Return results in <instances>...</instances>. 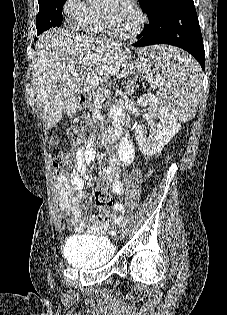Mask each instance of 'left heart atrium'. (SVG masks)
Segmentation results:
<instances>
[{
	"instance_id": "39dd6f15",
	"label": "left heart atrium",
	"mask_w": 227,
	"mask_h": 315,
	"mask_svg": "<svg viewBox=\"0 0 227 315\" xmlns=\"http://www.w3.org/2000/svg\"><path fill=\"white\" fill-rule=\"evenodd\" d=\"M121 1H123V2H128V0H121Z\"/></svg>"
}]
</instances>
